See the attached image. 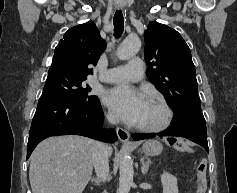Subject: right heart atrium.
<instances>
[{"label": "right heart atrium", "instance_id": "right-heart-atrium-1", "mask_svg": "<svg viewBox=\"0 0 237 193\" xmlns=\"http://www.w3.org/2000/svg\"><path fill=\"white\" fill-rule=\"evenodd\" d=\"M106 116H107V119L111 122H114L116 120V117L112 112H108Z\"/></svg>", "mask_w": 237, "mask_h": 193}]
</instances>
